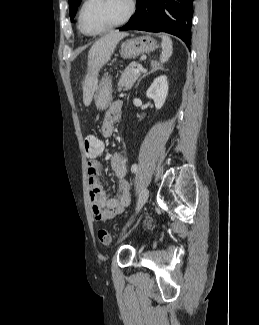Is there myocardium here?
<instances>
[{
  "mask_svg": "<svg viewBox=\"0 0 259 325\" xmlns=\"http://www.w3.org/2000/svg\"><path fill=\"white\" fill-rule=\"evenodd\" d=\"M91 0H85L83 2V4L81 5L80 7V10H79V14H78V26H79V29L82 31V33L88 35V36H97V35H101V34H104L106 32H109L113 29H116L124 24H126L131 18L132 16L134 15L135 13V9H136V4H135V0H128V10H127V13L125 14V16L120 20L118 21L117 23L103 29V30H100V31H96V32H90V31H87L83 25V12H84V9L85 7L89 4Z\"/></svg>",
  "mask_w": 259,
  "mask_h": 325,
  "instance_id": "myocardium-1",
  "label": "myocardium"
}]
</instances>
